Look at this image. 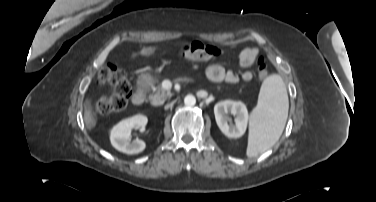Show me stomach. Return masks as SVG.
I'll return each instance as SVG.
<instances>
[{
  "mask_svg": "<svg viewBox=\"0 0 376 202\" xmlns=\"http://www.w3.org/2000/svg\"><path fill=\"white\" fill-rule=\"evenodd\" d=\"M149 78H151L150 74H143L142 75L143 80H148Z\"/></svg>",
  "mask_w": 376,
  "mask_h": 202,
  "instance_id": "stomach-1",
  "label": "stomach"
}]
</instances>
